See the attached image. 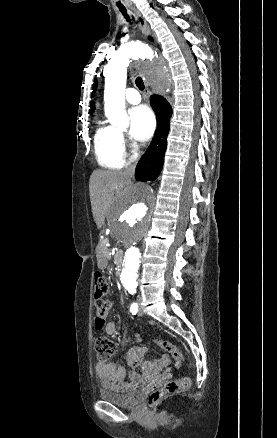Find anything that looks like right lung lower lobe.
<instances>
[{
	"label": "right lung lower lobe",
	"instance_id": "1",
	"mask_svg": "<svg viewBox=\"0 0 277 438\" xmlns=\"http://www.w3.org/2000/svg\"><path fill=\"white\" fill-rule=\"evenodd\" d=\"M151 103L157 115V131L148 150L137 164L135 178L138 181H153L158 177L163 166L167 147L172 108L166 99L158 95L152 96Z\"/></svg>",
	"mask_w": 277,
	"mask_h": 438
}]
</instances>
